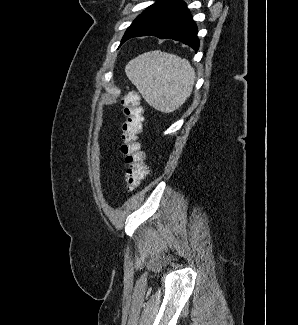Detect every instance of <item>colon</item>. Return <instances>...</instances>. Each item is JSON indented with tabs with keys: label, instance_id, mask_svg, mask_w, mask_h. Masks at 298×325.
Segmentation results:
<instances>
[{
	"label": "colon",
	"instance_id": "1",
	"mask_svg": "<svg viewBox=\"0 0 298 325\" xmlns=\"http://www.w3.org/2000/svg\"><path fill=\"white\" fill-rule=\"evenodd\" d=\"M124 122L121 126V152L125 157V188L127 191L137 189L147 177L148 166L145 152L138 138L143 128V107L140 97L135 92H129L121 99Z\"/></svg>",
	"mask_w": 298,
	"mask_h": 325
}]
</instances>
